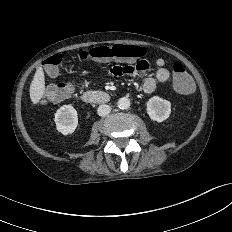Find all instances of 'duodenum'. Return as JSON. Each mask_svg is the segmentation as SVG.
<instances>
[{"label":"duodenum","mask_w":232,"mask_h":232,"mask_svg":"<svg viewBox=\"0 0 232 232\" xmlns=\"http://www.w3.org/2000/svg\"><path fill=\"white\" fill-rule=\"evenodd\" d=\"M81 98L87 104H104L110 100V95L104 91H86Z\"/></svg>","instance_id":"410a0bca"}]
</instances>
